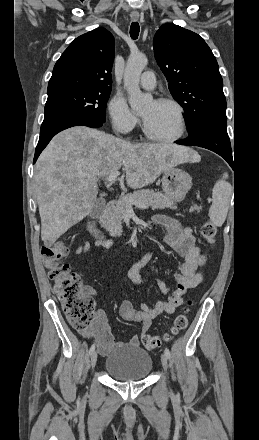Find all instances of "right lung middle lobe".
Instances as JSON below:
<instances>
[{"mask_svg":"<svg viewBox=\"0 0 259 440\" xmlns=\"http://www.w3.org/2000/svg\"><path fill=\"white\" fill-rule=\"evenodd\" d=\"M111 91L67 89L48 94L43 122L79 116L104 123Z\"/></svg>","mask_w":259,"mask_h":440,"instance_id":"dd1d6c3e","label":"right lung middle lobe"}]
</instances>
